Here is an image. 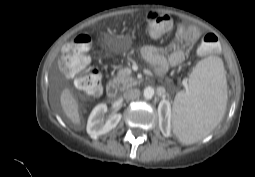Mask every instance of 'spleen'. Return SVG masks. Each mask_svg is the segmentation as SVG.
<instances>
[{"mask_svg": "<svg viewBox=\"0 0 255 177\" xmlns=\"http://www.w3.org/2000/svg\"><path fill=\"white\" fill-rule=\"evenodd\" d=\"M227 104V81L222 60L207 57L197 63L189 77V89L174 100L173 132L184 144L207 136L222 120Z\"/></svg>", "mask_w": 255, "mask_h": 177, "instance_id": "3e777b00", "label": "spleen"}]
</instances>
